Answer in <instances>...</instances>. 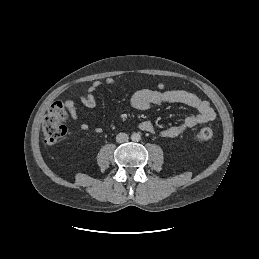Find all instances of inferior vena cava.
<instances>
[{
	"instance_id": "602c4592",
	"label": "inferior vena cava",
	"mask_w": 259,
	"mask_h": 259,
	"mask_svg": "<svg viewBox=\"0 0 259 259\" xmlns=\"http://www.w3.org/2000/svg\"><path fill=\"white\" fill-rule=\"evenodd\" d=\"M128 139H129V137L126 133H119L116 136V141L118 143H124V142L128 141Z\"/></svg>"
}]
</instances>
